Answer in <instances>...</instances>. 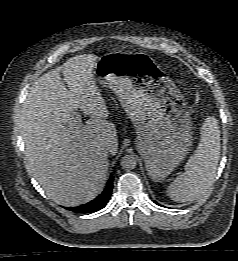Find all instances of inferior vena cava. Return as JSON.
<instances>
[{"mask_svg":"<svg viewBox=\"0 0 238 261\" xmlns=\"http://www.w3.org/2000/svg\"><path fill=\"white\" fill-rule=\"evenodd\" d=\"M104 150H105L106 152H108V150H109V145H108V144H105Z\"/></svg>","mask_w":238,"mask_h":261,"instance_id":"obj_1","label":"inferior vena cava"}]
</instances>
